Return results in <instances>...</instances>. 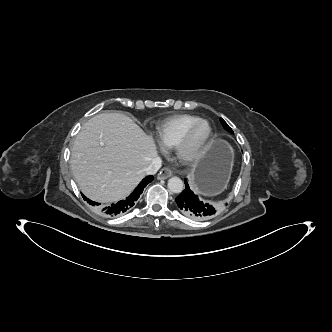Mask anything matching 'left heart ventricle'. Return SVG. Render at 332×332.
Returning <instances> with one entry per match:
<instances>
[{"instance_id": "1", "label": "left heart ventricle", "mask_w": 332, "mask_h": 332, "mask_svg": "<svg viewBox=\"0 0 332 332\" xmlns=\"http://www.w3.org/2000/svg\"><path fill=\"white\" fill-rule=\"evenodd\" d=\"M206 133L207 127L205 125L199 126L192 135L189 147L196 146L205 137Z\"/></svg>"}]
</instances>
